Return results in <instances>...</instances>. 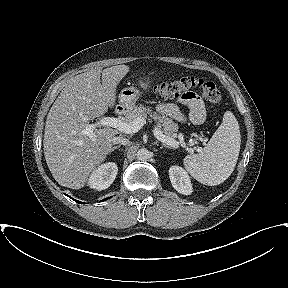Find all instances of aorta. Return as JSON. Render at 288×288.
<instances>
[{
  "label": "aorta",
  "mask_w": 288,
  "mask_h": 288,
  "mask_svg": "<svg viewBox=\"0 0 288 288\" xmlns=\"http://www.w3.org/2000/svg\"><path fill=\"white\" fill-rule=\"evenodd\" d=\"M136 157L138 160L146 161L150 158V152L146 148H141L137 151Z\"/></svg>",
  "instance_id": "obj_1"
}]
</instances>
